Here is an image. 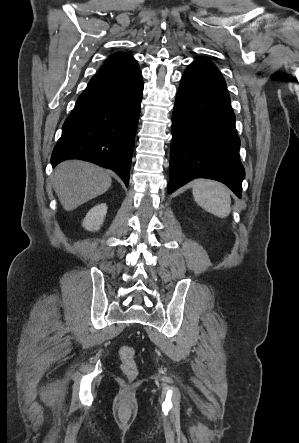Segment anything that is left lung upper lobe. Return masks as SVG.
<instances>
[{
	"label": "left lung upper lobe",
	"instance_id": "1",
	"mask_svg": "<svg viewBox=\"0 0 299 443\" xmlns=\"http://www.w3.org/2000/svg\"><path fill=\"white\" fill-rule=\"evenodd\" d=\"M194 63H198L203 66L218 70L217 67L211 61H209L208 59H205V58H200V59L196 60Z\"/></svg>",
	"mask_w": 299,
	"mask_h": 443
}]
</instances>
